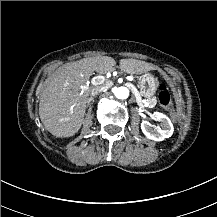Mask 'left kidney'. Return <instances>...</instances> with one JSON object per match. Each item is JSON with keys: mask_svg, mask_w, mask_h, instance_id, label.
I'll use <instances>...</instances> for the list:
<instances>
[{"mask_svg": "<svg viewBox=\"0 0 217 217\" xmlns=\"http://www.w3.org/2000/svg\"><path fill=\"white\" fill-rule=\"evenodd\" d=\"M155 121H160L161 126H155V130L148 121L141 122V131L145 137L152 141H163L173 134L174 128L169 118L159 112L153 114Z\"/></svg>", "mask_w": 217, "mask_h": 217, "instance_id": "5707ae66", "label": "left kidney"}]
</instances>
